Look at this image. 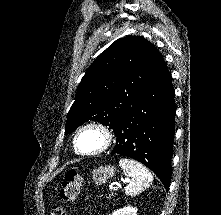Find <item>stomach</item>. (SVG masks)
<instances>
[{"instance_id":"0dacf381","label":"stomach","mask_w":221,"mask_h":215,"mask_svg":"<svg viewBox=\"0 0 221 215\" xmlns=\"http://www.w3.org/2000/svg\"><path fill=\"white\" fill-rule=\"evenodd\" d=\"M116 172V168L111 165L100 166L94 169L92 172V179L97 185H101L107 182L109 178H112Z\"/></svg>"}]
</instances>
